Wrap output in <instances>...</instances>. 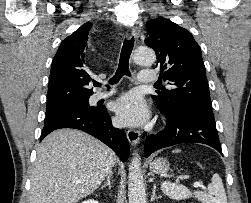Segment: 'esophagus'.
<instances>
[{
	"mask_svg": "<svg viewBox=\"0 0 251 203\" xmlns=\"http://www.w3.org/2000/svg\"><path fill=\"white\" fill-rule=\"evenodd\" d=\"M132 34L135 38H138L140 35V29L137 26L132 28ZM127 138L131 145L136 146L140 142V133L137 130L129 129L127 131Z\"/></svg>",
	"mask_w": 251,
	"mask_h": 203,
	"instance_id": "1",
	"label": "esophagus"
}]
</instances>
